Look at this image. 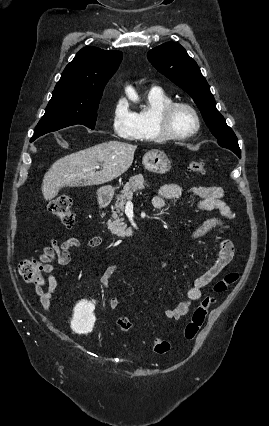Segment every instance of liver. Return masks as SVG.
<instances>
[{"label":"liver","mask_w":269,"mask_h":426,"mask_svg":"<svg viewBox=\"0 0 269 426\" xmlns=\"http://www.w3.org/2000/svg\"><path fill=\"white\" fill-rule=\"evenodd\" d=\"M135 150V145L109 141L58 159L43 177L44 199H53L65 186H91L114 180L130 168ZM98 165L102 169L95 171Z\"/></svg>","instance_id":"liver-1"}]
</instances>
